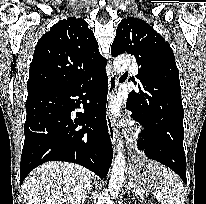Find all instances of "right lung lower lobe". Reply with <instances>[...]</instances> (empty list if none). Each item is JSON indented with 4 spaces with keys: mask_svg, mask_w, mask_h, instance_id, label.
Returning a JSON list of instances; mask_svg holds the SVG:
<instances>
[{
    "mask_svg": "<svg viewBox=\"0 0 206 204\" xmlns=\"http://www.w3.org/2000/svg\"><path fill=\"white\" fill-rule=\"evenodd\" d=\"M108 80L105 67L75 86L28 94L20 185L47 161L82 165L100 178L107 175L113 149L106 121ZM83 106L85 112L72 113Z\"/></svg>",
    "mask_w": 206,
    "mask_h": 204,
    "instance_id": "obj_1",
    "label": "right lung lower lobe"
}]
</instances>
